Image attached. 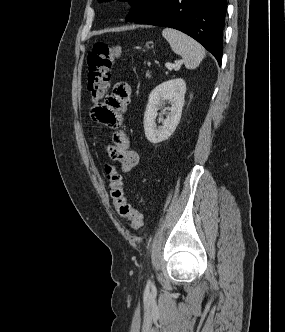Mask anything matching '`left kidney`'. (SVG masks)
Masks as SVG:
<instances>
[{"mask_svg":"<svg viewBox=\"0 0 285 332\" xmlns=\"http://www.w3.org/2000/svg\"><path fill=\"white\" fill-rule=\"evenodd\" d=\"M185 92L186 83L181 78L163 82L153 89L144 114V131L148 141L157 144L173 134L181 118ZM165 100L171 103L170 113L166 119H162V126L157 127L155 124L157 111Z\"/></svg>","mask_w":285,"mask_h":332,"instance_id":"1","label":"left kidney"}]
</instances>
